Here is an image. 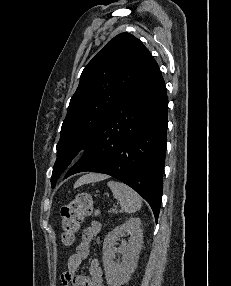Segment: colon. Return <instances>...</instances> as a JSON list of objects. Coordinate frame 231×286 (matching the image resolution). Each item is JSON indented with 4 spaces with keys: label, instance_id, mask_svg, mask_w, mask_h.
Instances as JSON below:
<instances>
[{
    "label": "colon",
    "instance_id": "5ec220e1",
    "mask_svg": "<svg viewBox=\"0 0 231 286\" xmlns=\"http://www.w3.org/2000/svg\"><path fill=\"white\" fill-rule=\"evenodd\" d=\"M94 212L95 205L88 193H79L73 201L61 208L60 226L64 244L74 243L83 219Z\"/></svg>",
    "mask_w": 231,
    "mask_h": 286
}]
</instances>
